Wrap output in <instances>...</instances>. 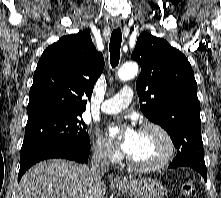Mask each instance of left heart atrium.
<instances>
[{"mask_svg":"<svg viewBox=\"0 0 221 198\" xmlns=\"http://www.w3.org/2000/svg\"><path fill=\"white\" fill-rule=\"evenodd\" d=\"M107 134L112 140L120 138L118 145L127 154L131 152L138 138V131L131 125L110 126Z\"/></svg>","mask_w":221,"mask_h":198,"instance_id":"1","label":"left heart atrium"}]
</instances>
